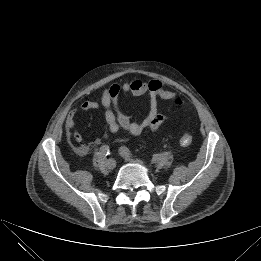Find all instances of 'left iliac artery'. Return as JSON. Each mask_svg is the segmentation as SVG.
Instances as JSON below:
<instances>
[{"label": "left iliac artery", "instance_id": "1", "mask_svg": "<svg viewBox=\"0 0 261 261\" xmlns=\"http://www.w3.org/2000/svg\"><path fill=\"white\" fill-rule=\"evenodd\" d=\"M120 151H121L122 153L126 154L127 156H130V157L133 156L132 152H131L127 147H121V148H120Z\"/></svg>", "mask_w": 261, "mask_h": 261}]
</instances>
